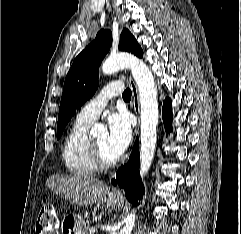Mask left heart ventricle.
<instances>
[{
  "mask_svg": "<svg viewBox=\"0 0 241 234\" xmlns=\"http://www.w3.org/2000/svg\"><path fill=\"white\" fill-rule=\"evenodd\" d=\"M94 140L99 144V146L102 149V152L106 159L112 160L116 158L119 154L115 152L110 143H109V137L107 132H101L97 136L94 137Z\"/></svg>",
  "mask_w": 241,
  "mask_h": 234,
  "instance_id": "1",
  "label": "left heart ventricle"
}]
</instances>
